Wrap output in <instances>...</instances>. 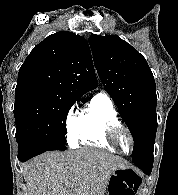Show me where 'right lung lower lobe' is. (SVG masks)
Wrapping results in <instances>:
<instances>
[{"mask_svg": "<svg viewBox=\"0 0 178 195\" xmlns=\"http://www.w3.org/2000/svg\"><path fill=\"white\" fill-rule=\"evenodd\" d=\"M65 149L66 147L64 144H50V145L30 144V145L18 146V159L21 162H25L28 159L46 151L65 150Z\"/></svg>", "mask_w": 178, "mask_h": 195, "instance_id": "obj_1", "label": "right lung lower lobe"}]
</instances>
